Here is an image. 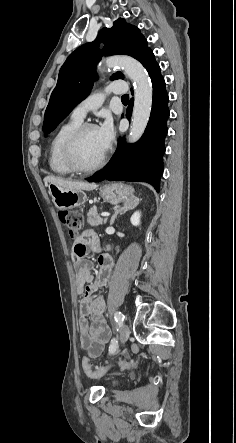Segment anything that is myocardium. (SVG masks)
<instances>
[{
  "mask_svg": "<svg viewBox=\"0 0 236 443\" xmlns=\"http://www.w3.org/2000/svg\"><path fill=\"white\" fill-rule=\"evenodd\" d=\"M98 128L97 125L94 123H82L79 125L66 139L63 149H62V156L63 161L66 164V166L74 173L78 174H91L99 169H101L108 157L109 150L106 149L104 154L100 157V159L90 167H83L81 166L75 157V149L76 146L80 140V138L83 136V134L88 131L89 129Z\"/></svg>",
  "mask_w": 236,
  "mask_h": 443,
  "instance_id": "1",
  "label": "myocardium"
}]
</instances>
